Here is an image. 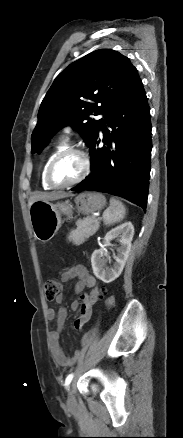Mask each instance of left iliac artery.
<instances>
[{"label": "left iliac artery", "mask_w": 183, "mask_h": 438, "mask_svg": "<svg viewBox=\"0 0 183 438\" xmlns=\"http://www.w3.org/2000/svg\"><path fill=\"white\" fill-rule=\"evenodd\" d=\"M73 379V374H69L65 380V386L68 387Z\"/></svg>", "instance_id": "obj_1"}]
</instances>
